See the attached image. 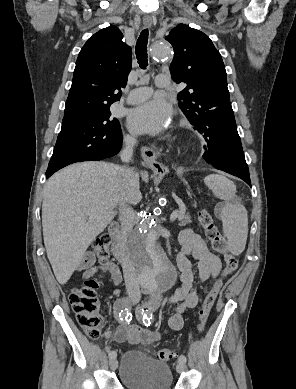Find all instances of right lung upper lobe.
I'll return each mask as SVG.
<instances>
[{
	"label": "right lung upper lobe",
	"instance_id": "1",
	"mask_svg": "<svg viewBox=\"0 0 296 389\" xmlns=\"http://www.w3.org/2000/svg\"><path fill=\"white\" fill-rule=\"evenodd\" d=\"M122 32L109 26L94 34L81 49L66 101L64 117L95 113L119 100L131 70V48Z\"/></svg>",
	"mask_w": 296,
	"mask_h": 389
}]
</instances>
